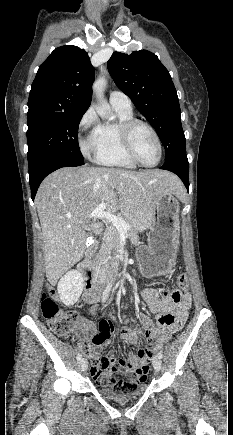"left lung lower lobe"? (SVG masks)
<instances>
[{"label":"left lung lower lobe","mask_w":233,"mask_h":435,"mask_svg":"<svg viewBox=\"0 0 233 435\" xmlns=\"http://www.w3.org/2000/svg\"><path fill=\"white\" fill-rule=\"evenodd\" d=\"M160 169L169 170L177 174L183 181L187 190H189V164L186 152L180 153L170 160H167L165 164L160 167Z\"/></svg>","instance_id":"obj_1"}]
</instances>
